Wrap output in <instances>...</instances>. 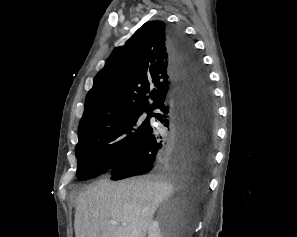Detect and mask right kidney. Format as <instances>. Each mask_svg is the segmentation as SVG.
<instances>
[{
	"label": "right kidney",
	"mask_w": 297,
	"mask_h": 237,
	"mask_svg": "<svg viewBox=\"0 0 297 237\" xmlns=\"http://www.w3.org/2000/svg\"><path fill=\"white\" fill-rule=\"evenodd\" d=\"M148 237H165V234L162 232L159 222L153 221L148 227Z\"/></svg>",
	"instance_id": "ca27d5eb"
}]
</instances>
